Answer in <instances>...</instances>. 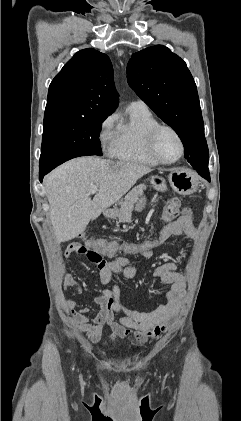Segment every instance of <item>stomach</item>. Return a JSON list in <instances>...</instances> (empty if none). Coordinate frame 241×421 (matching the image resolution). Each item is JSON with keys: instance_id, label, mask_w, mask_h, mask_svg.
<instances>
[{"instance_id": "stomach-1", "label": "stomach", "mask_w": 241, "mask_h": 421, "mask_svg": "<svg viewBox=\"0 0 241 421\" xmlns=\"http://www.w3.org/2000/svg\"><path fill=\"white\" fill-rule=\"evenodd\" d=\"M167 181L175 192L181 195H189L198 189V179L195 174L186 169H174L171 170L167 176ZM152 186L158 191L167 190V182L165 178L161 176H152L150 178ZM145 198H142L136 206L137 211H141L145 207ZM118 211H108L106 215L109 218H115Z\"/></svg>"}]
</instances>
